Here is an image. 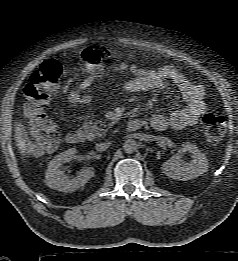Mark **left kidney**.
Wrapping results in <instances>:
<instances>
[{"mask_svg": "<svg viewBox=\"0 0 238 261\" xmlns=\"http://www.w3.org/2000/svg\"><path fill=\"white\" fill-rule=\"evenodd\" d=\"M186 151L193 154L191 163L186 164L182 162L181 154L178 153L162 164L163 173L170 178L184 181L194 179L206 173L209 166L205 155L189 142L182 145L181 152Z\"/></svg>", "mask_w": 238, "mask_h": 261, "instance_id": "5707ae66", "label": "left kidney"}]
</instances>
